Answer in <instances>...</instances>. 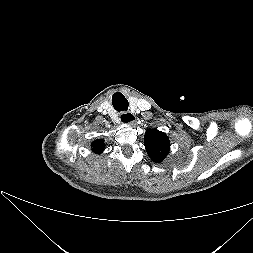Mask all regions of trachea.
<instances>
[{"instance_id":"trachea-1","label":"trachea","mask_w":253,"mask_h":253,"mask_svg":"<svg viewBox=\"0 0 253 253\" xmlns=\"http://www.w3.org/2000/svg\"><path fill=\"white\" fill-rule=\"evenodd\" d=\"M114 108L120 112L128 109V101L124 97L119 100H113Z\"/></svg>"}]
</instances>
